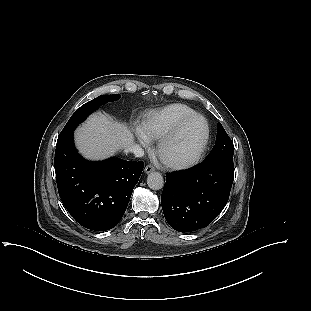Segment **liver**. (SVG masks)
Instances as JSON below:
<instances>
[{
  "mask_svg": "<svg viewBox=\"0 0 311 311\" xmlns=\"http://www.w3.org/2000/svg\"><path fill=\"white\" fill-rule=\"evenodd\" d=\"M80 152L89 159H104L134 142L126 125L102 113L91 115L75 132Z\"/></svg>",
  "mask_w": 311,
  "mask_h": 311,
  "instance_id": "6515ba94",
  "label": "liver"
}]
</instances>
